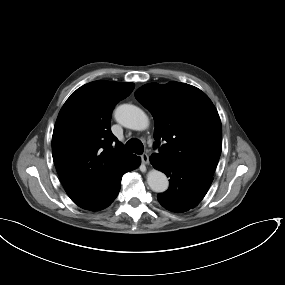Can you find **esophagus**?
<instances>
[{
    "label": "esophagus",
    "mask_w": 285,
    "mask_h": 285,
    "mask_svg": "<svg viewBox=\"0 0 285 285\" xmlns=\"http://www.w3.org/2000/svg\"><path fill=\"white\" fill-rule=\"evenodd\" d=\"M143 164H149V156L146 153L140 155Z\"/></svg>",
    "instance_id": "esophagus-1"
}]
</instances>
